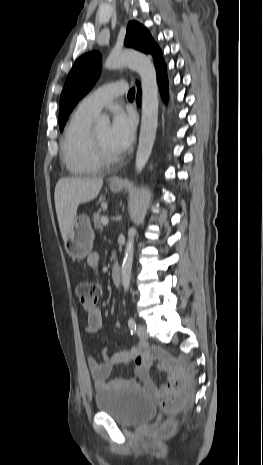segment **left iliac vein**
<instances>
[{"label": "left iliac vein", "mask_w": 263, "mask_h": 465, "mask_svg": "<svg viewBox=\"0 0 263 465\" xmlns=\"http://www.w3.org/2000/svg\"><path fill=\"white\" fill-rule=\"evenodd\" d=\"M136 333L142 340L148 339V333H147L145 325L138 324L136 328Z\"/></svg>", "instance_id": "1"}]
</instances>
